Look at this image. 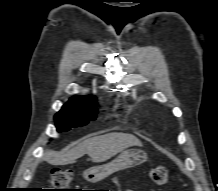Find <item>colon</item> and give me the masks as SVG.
Wrapping results in <instances>:
<instances>
[{"label":"colon","mask_w":218,"mask_h":191,"mask_svg":"<svg viewBox=\"0 0 218 191\" xmlns=\"http://www.w3.org/2000/svg\"><path fill=\"white\" fill-rule=\"evenodd\" d=\"M150 178L156 185H164L168 181V169L163 166L155 167L150 170ZM73 180L71 170H55L52 173V191H71L67 189Z\"/></svg>","instance_id":"colon-1"}]
</instances>
